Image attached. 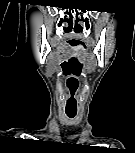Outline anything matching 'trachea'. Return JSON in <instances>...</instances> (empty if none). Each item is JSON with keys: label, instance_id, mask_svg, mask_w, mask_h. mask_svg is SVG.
<instances>
[{"label": "trachea", "instance_id": "trachea-1", "mask_svg": "<svg viewBox=\"0 0 135 153\" xmlns=\"http://www.w3.org/2000/svg\"><path fill=\"white\" fill-rule=\"evenodd\" d=\"M66 114H67V116H68L69 118H73V117H75L76 112H66Z\"/></svg>", "mask_w": 135, "mask_h": 153}]
</instances>
